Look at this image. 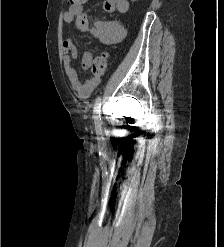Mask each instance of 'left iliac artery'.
<instances>
[{"mask_svg":"<svg viewBox=\"0 0 224 247\" xmlns=\"http://www.w3.org/2000/svg\"><path fill=\"white\" fill-rule=\"evenodd\" d=\"M101 104H102V98L99 96L97 97L95 104H94V121H95V129L97 132H101V125H102V120H101Z\"/></svg>","mask_w":224,"mask_h":247,"instance_id":"44dca946","label":"left iliac artery"}]
</instances>
